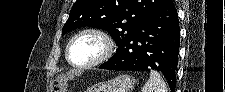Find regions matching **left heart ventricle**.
Listing matches in <instances>:
<instances>
[{
  "mask_svg": "<svg viewBox=\"0 0 225 92\" xmlns=\"http://www.w3.org/2000/svg\"><path fill=\"white\" fill-rule=\"evenodd\" d=\"M102 51L103 44L97 37L84 35L72 44L70 58L76 64H85L100 56Z\"/></svg>",
  "mask_w": 225,
  "mask_h": 92,
  "instance_id": "obj_1",
  "label": "left heart ventricle"
}]
</instances>
